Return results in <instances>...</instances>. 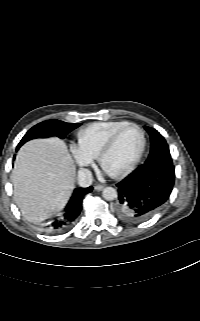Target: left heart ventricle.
<instances>
[{
  "label": "left heart ventricle",
  "instance_id": "1",
  "mask_svg": "<svg viewBox=\"0 0 200 321\" xmlns=\"http://www.w3.org/2000/svg\"><path fill=\"white\" fill-rule=\"evenodd\" d=\"M140 145V132L133 127L126 129L114 147L104 156L102 161L104 170L110 174L124 171L135 158Z\"/></svg>",
  "mask_w": 200,
  "mask_h": 321
}]
</instances>
